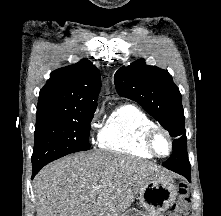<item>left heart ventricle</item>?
<instances>
[{
	"instance_id": "b2bd125f",
	"label": "left heart ventricle",
	"mask_w": 221,
	"mask_h": 216,
	"mask_svg": "<svg viewBox=\"0 0 221 216\" xmlns=\"http://www.w3.org/2000/svg\"><path fill=\"white\" fill-rule=\"evenodd\" d=\"M156 147H157V150L164 154L168 151V143H167V140L165 139V137L159 135L157 136L156 138Z\"/></svg>"
}]
</instances>
